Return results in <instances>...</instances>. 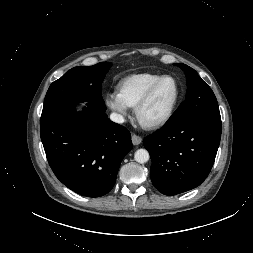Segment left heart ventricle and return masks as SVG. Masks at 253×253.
<instances>
[{"instance_id":"1","label":"left heart ventricle","mask_w":253,"mask_h":253,"mask_svg":"<svg viewBox=\"0 0 253 253\" xmlns=\"http://www.w3.org/2000/svg\"><path fill=\"white\" fill-rule=\"evenodd\" d=\"M176 92V86L172 79H165L149 104L142 113V119L145 122H153L161 118L168 110Z\"/></svg>"}]
</instances>
